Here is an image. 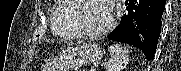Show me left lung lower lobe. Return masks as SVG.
Instances as JSON below:
<instances>
[{
    "label": "left lung lower lobe",
    "mask_w": 181,
    "mask_h": 71,
    "mask_svg": "<svg viewBox=\"0 0 181 71\" xmlns=\"http://www.w3.org/2000/svg\"><path fill=\"white\" fill-rule=\"evenodd\" d=\"M120 25L108 38L133 45L153 59L161 32L165 0H126Z\"/></svg>",
    "instance_id": "0a47b994"
}]
</instances>
